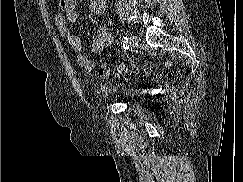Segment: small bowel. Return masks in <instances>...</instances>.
<instances>
[{"instance_id":"small-bowel-1","label":"small bowel","mask_w":243,"mask_h":182,"mask_svg":"<svg viewBox=\"0 0 243 182\" xmlns=\"http://www.w3.org/2000/svg\"><path fill=\"white\" fill-rule=\"evenodd\" d=\"M59 6L61 11L55 16V24L60 35L76 53L77 64L86 71H92L95 63L82 52L81 39L71 29V25L77 19V0H59ZM106 7L107 0H92L89 9L93 16L99 18L104 14ZM112 41L110 31L104 26H99L96 35L92 38L91 50L94 53H101Z\"/></svg>"}]
</instances>
